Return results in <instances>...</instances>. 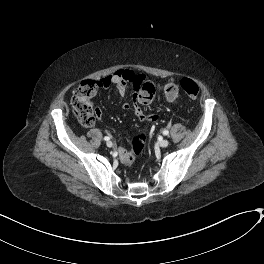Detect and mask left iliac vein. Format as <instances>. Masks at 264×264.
<instances>
[{
    "label": "left iliac vein",
    "mask_w": 264,
    "mask_h": 264,
    "mask_svg": "<svg viewBox=\"0 0 264 264\" xmlns=\"http://www.w3.org/2000/svg\"><path fill=\"white\" fill-rule=\"evenodd\" d=\"M169 145V141L167 139H162L161 141H159V146L160 147H167Z\"/></svg>",
    "instance_id": "obj_1"
}]
</instances>
